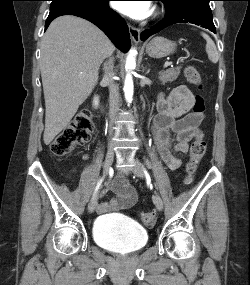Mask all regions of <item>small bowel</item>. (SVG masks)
<instances>
[{
  "label": "small bowel",
  "instance_id": "small-bowel-1",
  "mask_svg": "<svg viewBox=\"0 0 250 285\" xmlns=\"http://www.w3.org/2000/svg\"><path fill=\"white\" fill-rule=\"evenodd\" d=\"M194 103L195 96L186 86H178L158 97V113L153 123L154 143L161 159L171 169L181 165L177 154H185L190 141L202 134L199 124L203 115L191 111ZM110 189L115 197L97 205L100 214L128 208L137 200L136 190L122 176L111 183Z\"/></svg>",
  "mask_w": 250,
  "mask_h": 285
}]
</instances>
